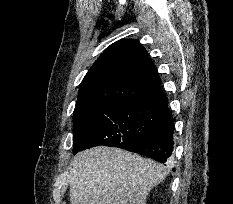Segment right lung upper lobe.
Segmentation results:
<instances>
[{
    "instance_id": "obj_1",
    "label": "right lung upper lobe",
    "mask_w": 233,
    "mask_h": 204,
    "mask_svg": "<svg viewBox=\"0 0 233 204\" xmlns=\"http://www.w3.org/2000/svg\"><path fill=\"white\" fill-rule=\"evenodd\" d=\"M162 93L156 66L145 48L136 40H119L100 55L83 78L73 121L113 103L154 99Z\"/></svg>"
}]
</instances>
